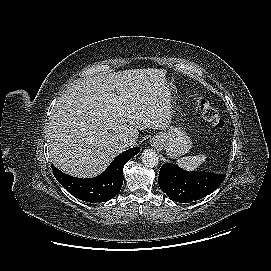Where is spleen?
Wrapping results in <instances>:
<instances>
[{"label":"spleen","instance_id":"obj_1","mask_svg":"<svg viewBox=\"0 0 271 271\" xmlns=\"http://www.w3.org/2000/svg\"><path fill=\"white\" fill-rule=\"evenodd\" d=\"M206 160L205 155L187 156L177 160V164L188 171H194L198 169L202 163Z\"/></svg>","mask_w":271,"mask_h":271}]
</instances>
